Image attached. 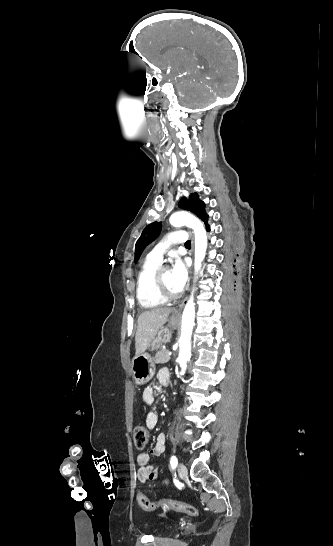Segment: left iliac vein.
<instances>
[{
  "instance_id": "left-iliac-vein-1",
  "label": "left iliac vein",
  "mask_w": 333,
  "mask_h": 546,
  "mask_svg": "<svg viewBox=\"0 0 333 546\" xmlns=\"http://www.w3.org/2000/svg\"><path fill=\"white\" fill-rule=\"evenodd\" d=\"M178 472H179V476H180L181 478L186 477V475H187V468H186V466H185L184 463H182V462L179 463V465H178Z\"/></svg>"
}]
</instances>
